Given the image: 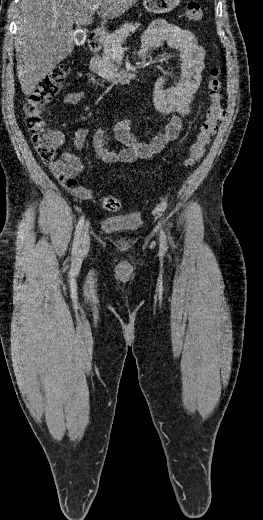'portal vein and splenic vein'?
<instances>
[{
	"label": "portal vein and splenic vein",
	"instance_id": "1",
	"mask_svg": "<svg viewBox=\"0 0 263 520\" xmlns=\"http://www.w3.org/2000/svg\"><path fill=\"white\" fill-rule=\"evenodd\" d=\"M98 9H99V4H96V5H93V6L91 7L90 10H91V12H95V11H97ZM118 48H120L119 45L116 46V47H114V49H118Z\"/></svg>",
	"mask_w": 263,
	"mask_h": 520
}]
</instances>
